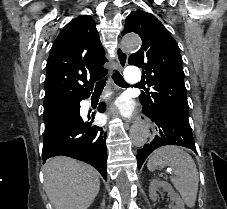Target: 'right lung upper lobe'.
<instances>
[{
	"instance_id": "right-lung-upper-lobe-1",
	"label": "right lung upper lobe",
	"mask_w": 227,
	"mask_h": 209,
	"mask_svg": "<svg viewBox=\"0 0 227 209\" xmlns=\"http://www.w3.org/2000/svg\"><path fill=\"white\" fill-rule=\"evenodd\" d=\"M95 22L89 15L71 20L54 41L46 66L44 107L78 102L104 77V56Z\"/></svg>"
}]
</instances>
